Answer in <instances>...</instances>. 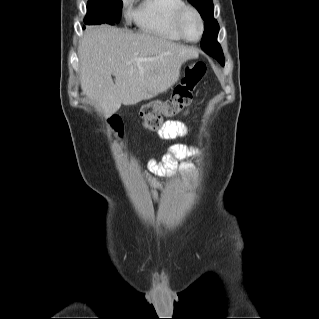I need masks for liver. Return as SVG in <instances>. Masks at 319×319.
Instances as JSON below:
<instances>
[{"label":"liver","mask_w":319,"mask_h":319,"mask_svg":"<svg viewBox=\"0 0 319 319\" xmlns=\"http://www.w3.org/2000/svg\"><path fill=\"white\" fill-rule=\"evenodd\" d=\"M81 89L105 117L167 91L195 48L148 33L90 26L79 42ZM115 77V82L112 80Z\"/></svg>","instance_id":"6515ba94"}]
</instances>
